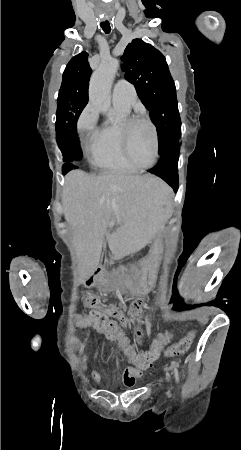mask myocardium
Masks as SVG:
<instances>
[{
    "label": "myocardium",
    "mask_w": 241,
    "mask_h": 450,
    "mask_svg": "<svg viewBox=\"0 0 241 450\" xmlns=\"http://www.w3.org/2000/svg\"><path fill=\"white\" fill-rule=\"evenodd\" d=\"M137 121V117L135 115H129L128 117L124 118L121 124V130H120V135L117 138V141L121 144H119V149L122 150V153H124V156L126 157V162H128V158L131 156V154L129 152H126L124 149V146L126 143H128V135L131 133V129H129V127L131 126V124L133 122ZM153 127H158V122H153L152 123ZM151 135L152 137L150 138V143H151V147H152V151H153V158L152 161L156 162L157 161V157H159V150H158V146H157V142H161V137H157V132L156 130H151Z\"/></svg>",
    "instance_id": "obj_1"
}]
</instances>
